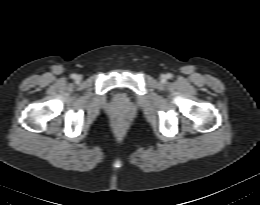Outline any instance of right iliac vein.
I'll return each instance as SVG.
<instances>
[{
  "mask_svg": "<svg viewBox=\"0 0 260 205\" xmlns=\"http://www.w3.org/2000/svg\"><path fill=\"white\" fill-rule=\"evenodd\" d=\"M82 79V76L81 75H78L77 77H76V80L77 81H80Z\"/></svg>",
  "mask_w": 260,
  "mask_h": 205,
  "instance_id": "obj_1",
  "label": "right iliac vein"
}]
</instances>
